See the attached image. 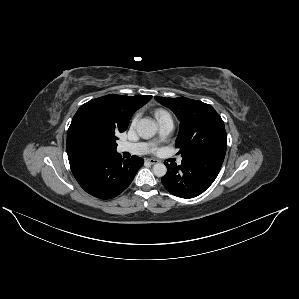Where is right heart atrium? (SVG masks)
<instances>
[{
  "label": "right heart atrium",
  "instance_id": "right-heart-atrium-1",
  "mask_svg": "<svg viewBox=\"0 0 299 299\" xmlns=\"http://www.w3.org/2000/svg\"><path fill=\"white\" fill-rule=\"evenodd\" d=\"M138 118H139V115H136V116L133 117V119H132V124L133 125L137 122Z\"/></svg>",
  "mask_w": 299,
  "mask_h": 299
}]
</instances>
